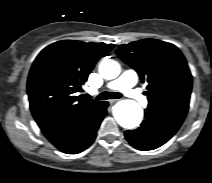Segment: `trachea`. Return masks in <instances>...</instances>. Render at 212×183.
Segmentation results:
<instances>
[{
	"mask_svg": "<svg viewBox=\"0 0 212 183\" xmlns=\"http://www.w3.org/2000/svg\"><path fill=\"white\" fill-rule=\"evenodd\" d=\"M122 97L121 93L116 92H102L100 93L96 99L97 100H107V99H119Z\"/></svg>",
	"mask_w": 212,
	"mask_h": 183,
	"instance_id": "obj_1",
	"label": "trachea"
}]
</instances>
